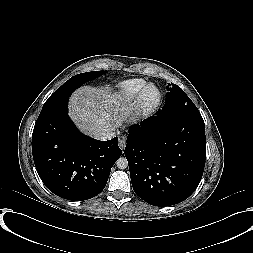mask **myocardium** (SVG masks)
I'll return each mask as SVG.
<instances>
[{
    "instance_id": "myocardium-1",
    "label": "myocardium",
    "mask_w": 253,
    "mask_h": 253,
    "mask_svg": "<svg viewBox=\"0 0 253 253\" xmlns=\"http://www.w3.org/2000/svg\"><path fill=\"white\" fill-rule=\"evenodd\" d=\"M150 90H155L157 94L154 100L148 99V93ZM161 100L162 93L160 89L155 84H146L137 98L136 113L141 117H148L157 109Z\"/></svg>"
}]
</instances>
